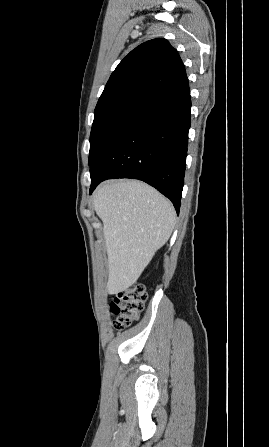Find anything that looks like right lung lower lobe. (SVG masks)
<instances>
[{"instance_id": "right-lung-lower-lobe-1", "label": "right lung lower lobe", "mask_w": 269, "mask_h": 447, "mask_svg": "<svg viewBox=\"0 0 269 447\" xmlns=\"http://www.w3.org/2000/svg\"><path fill=\"white\" fill-rule=\"evenodd\" d=\"M191 98L187 77L126 117L90 168V194L103 180L135 178L168 197L179 213Z\"/></svg>"}]
</instances>
